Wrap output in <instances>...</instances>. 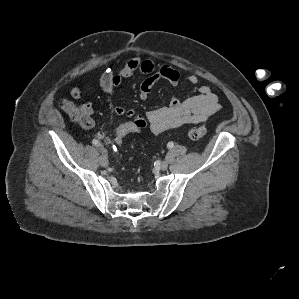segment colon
Instances as JSON below:
<instances>
[{
  "label": "colon",
  "instance_id": "1",
  "mask_svg": "<svg viewBox=\"0 0 299 299\" xmlns=\"http://www.w3.org/2000/svg\"><path fill=\"white\" fill-rule=\"evenodd\" d=\"M60 108L75 122L84 127L91 125L93 119L83 108L74 102L64 99L60 102ZM144 129L140 122L128 119L117 125L114 132V149L119 148L125 140L134 134L140 133ZM207 134V128L204 125L192 127L188 130V137L192 140H199Z\"/></svg>",
  "mask_w": 299,
  "mask_h": 299
}]
</instances>
